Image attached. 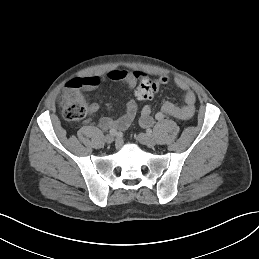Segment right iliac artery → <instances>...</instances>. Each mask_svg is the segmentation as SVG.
I'll list each match as a JSON object with an SVG mask.
<instances>
[{
	"label": "right iliac artery",
	"instance_id": "82829eb1",
	"mask_svg": "<svg viewBox=\"0 0 259 259\" xmlns=\"http://www.w3.org/2000/svg\"><path fill=\"white\" fill-rule=\"evenodd\" d=\"M110 134L113 135V136H116L117 135V131L115 129H110Z\"/></svg>",
	"mask_w": 259,
	"mask_h": 259
}]
</instances>
